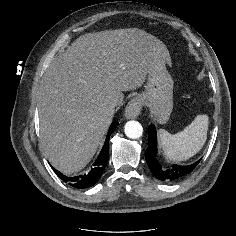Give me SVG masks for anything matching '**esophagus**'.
<instances>
[{
	"mask_svg": "<svg viewBox=\"0 0 236 236\" xmlns=\"http://www.w3.org/2000/svg\"><path fill=\"white\" fill-rule=\"evenodd\" d=\"M142 99L140 97L133 98L126 106L124 115L127 119H135L137 118L142 109Z\"/></svg>",
	"mask_w": 236,
	"mask_h": 236,
	"instance_id": "1",
	"label": "esophagus"
}]
</instances>
